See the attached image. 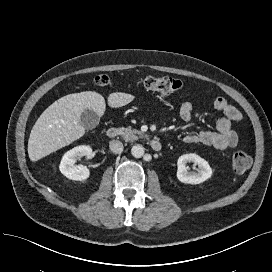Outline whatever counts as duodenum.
Here are the masks:
<instances>
[{
	"instance_id": "410a0bca",
	"label": "duodenum",
	"mask_w": 272,
	"mask_h": 272,
	"mask_svg": "<svg viewBox=\"0 0 272 272\" xmlns=\"http://www.w3.org/2000/svg\"><path fill=\"white\" fill-rule=\"evenodd\" d=\"M107 136L110 139H115L118 136V130L116 128H110L107 131ZM149 145L154 151H160L162 148L161 143L155 139L149 140Z\"/></svg>"
}]
</instances>
